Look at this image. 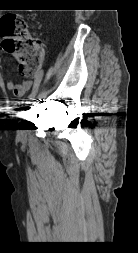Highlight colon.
Listing matches in <instances>:
<instances>
[{"instance_id":"colon-1","label":"colon","mask_w":138,"mask_h":253,"mask_svg":"<svg viewBox=\"0 0 138 253\" xmlns=\"http://www.w3.org/2000/svg\"><path fill=\"white\" fill-rule=\"evenodd\" d=\"M2 48L15 55L19 71L27 78L35 77L45 58L44 45L32 37L25 20L15 14L4 15L0 19Z\"/></svg>"}]
</instances>
